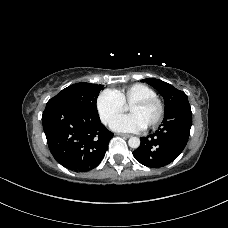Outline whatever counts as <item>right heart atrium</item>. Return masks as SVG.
<instances>
[{"mask_svg":"<svg viewBox=\"0 0 228 228\" xmlns=\"http://www.w3.org/2000/svg\"><path fill=\"white\" fill-rule=\"evenodd\" d=\"M96 109L102 122L109 124L124 111L125 105L114 90L105 89L97 96Z\"/></svg>","mask_w":228,"mask_h":228,"instance_id":"d8ad5b80","label":"right heart atrium"}]
</instances>
